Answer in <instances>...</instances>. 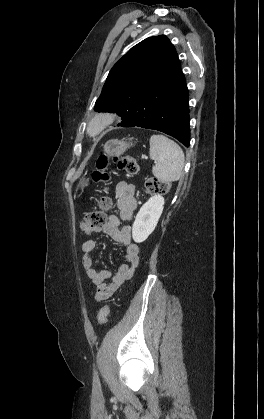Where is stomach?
Here are the masks:
<instances>
[{"instance_id":"0dacf381","label":"stomach","mask_w":264,"mask_h":419,"mask_svg":"<svg viewBox=\"0 0 264 419\" xmlns=\"http://www.w3.org/2000/svg\"><path fill=\"white\" fill-rule=\"evenodd\" d=\"M133 146L132 140L129 142L126 140L111 139L104 144V152L108 156H117L123 154L128 148ZM89 184V179L82 178L77 184V190L83 192L84 188Z\"/></svg>"}]
</instances>
